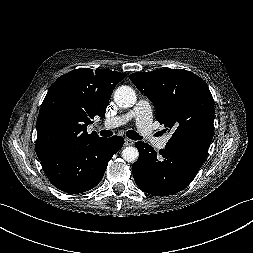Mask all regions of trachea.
I'll return each instance as SVG.
<instances>
[{"mask_svg": "<svg viewBox=\"0 0 253 253\" xmlns=\"http://www.w3.org/2000/svg\"><path fill=\"white\" fill-rule=\"evenodd\" d=\"M113 132L110 131V130H101L100 131V135L103 136V137H109V136H112ZM126 135L132 139V140H141L142 137L135 131L133 130H128L126 132Z\"/></svg>", "mask_w": 253, "mask_h": 253, "instance_id": "trachea-1", "label": "trachea"}]
</instances>
